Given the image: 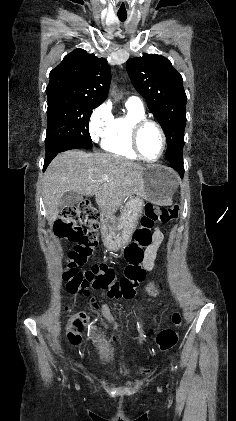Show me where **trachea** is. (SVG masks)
Listing matches in <instances>:
<instances>
[{
	"instance_id": "1",
	"label": "trachea",
	"mask_w": 236,
	"mask_h": 421,
	"mask_svg": "<svg viewBox=\"0 0 236 421\" xmlns=\"http://www.w3.org/2000/svg\"><path fill=\"white\" fill-rule=\"evenodd\" d=\"M118 18H119V20L121 21V22H124L125 20H126V18H127V16L126 15H118Z\"/></svg>"
}]
</instances>
